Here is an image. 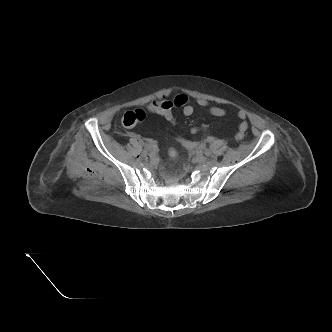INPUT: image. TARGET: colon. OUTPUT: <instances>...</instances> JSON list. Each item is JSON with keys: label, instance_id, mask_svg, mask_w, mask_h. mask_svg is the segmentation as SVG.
<instances>
[{"label": "colon", "instance_id": "1", "mask_svg": "<svg viewBox=\"0 0 332 332\" xmlns=\"http://www.w3.org/2000/svg\"><path fill=\"white\" fill-rule=\"evenodd\" d=\"M149 111L152 113H155L158 110H161L162 117H164L168 122H170L173 125H179L178 119L175 116L173 109L171 106L167 103H163L161 101H155L150 104ZM145 118V113L142 110H131L127 111L123 117H122V124L125 127H133L137 123L141 122ZM206 127L201 125L198 127H192L191 132L192 133H199L206 131ZM172 155H175V151H171Z\"/></svg>", "mask_w": 332, "mask_h": 332}]
</instances>
